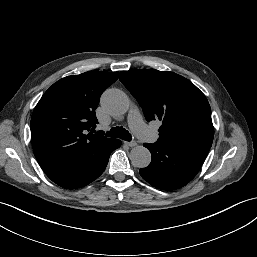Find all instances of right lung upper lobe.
Returning a JSON list of instances; mask_svg holds the SVG:
<instances>
[{"label": "right lung upper lobe", "instance_id": "1", "mask_svg": "<svg viewBox=\"0 0 257 257\" xmlns=\"http://www.w3.org/2000/svg\"><path fill=\"white\" fill-rule=\"evenodd\" d=\"M117 79L118 72L67 76L41 97L30 128L35 157L47 175L81 163L112 140L88 131L98 123L95 109L101 94Z\"/></svg>", "mask_w": 257, "mask_h": 257}]
</instances>
